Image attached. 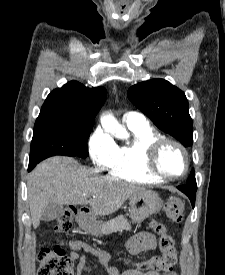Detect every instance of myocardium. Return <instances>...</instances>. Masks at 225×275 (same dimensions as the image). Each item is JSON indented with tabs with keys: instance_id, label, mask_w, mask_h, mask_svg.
<instances>
[{
	"instance_id": "f54148a6",
	"label": "myocardium",
	"mask_w": 225,
	"mask_h": 275,
	"mask_svg": "<svg viewBox=\"0 0 225 275\" xmlns=\"http://www.w3.org/2000/svg\"><path fill=\"white\" fill-rule=\"evenodd\" d=\"M175 146L182 154L184 160V168L180 174L169 175L164 173L159 164L160 155L163 150L169 146ZM145 166L146 169L156 178L160 180H174L185 176L189 170V156L186 148L178 141L162 137L150 143L145 149Z\"/></svg>"
}]
</instances>
